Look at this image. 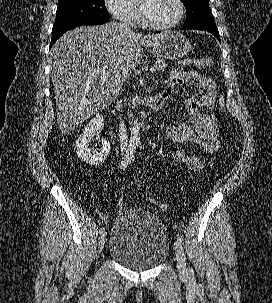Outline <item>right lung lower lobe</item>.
Wrapping results in <instances>:
<instances>
[{
  "label": "right lung lower lobe",
  "instance_id": "98d812e1",
  "mask_svg": "<svg viewBox=\"0 0 272 303\" xmlns=\"http://www.w3.org/2000/svg\"><path fill=\"white\" fill-rule=\"evenodd\" d=\"M106 21H99V20H81L72 22L69 24H66L64 26L52 29V38H51V44L50 48L53 46V44L68 30L73 29L78 26L83 25H101L104 24Z\"/></svg>",
  "mask_w": 272,
  "mask_h": 303
}]
</instances>
